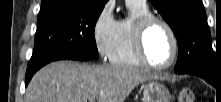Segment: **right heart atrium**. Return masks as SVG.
Here are the masks:
<instances>
[{"mask_svg":"<svg viewBox=\"0 0 221 102\" xmlns=\"http://www.w3.org/2000/svg\"><path fill=\"white\" fill-rule=\"evenodd\" d=\"M117 28L118 21L114 18L112 7L107 4L98 13L92 26L94 46L103 59H108L112 55Z\"/></svg>","mask_w":221,"mask_h":102,"instance_id":"obj_1","label":"right heart atrium"}]
</instances>
